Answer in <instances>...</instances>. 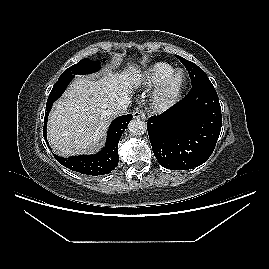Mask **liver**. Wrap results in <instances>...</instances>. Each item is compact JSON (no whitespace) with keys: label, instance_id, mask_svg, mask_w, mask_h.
I'll list each match as a JSON object with an SVG mask.
<instances>
[{"label":"liver","instance_id":"obj_1","mask_svg":"<svg viewBox=\"0 0 269 269\" xmlns=\"http://www.w3.org/2000/svg\"><path fill=\"white\" fill-rule=\"evenodd\" d=\"M142 75L134 65L119 72L106 70L98 79L76 78L53 106L48 139L60 155L88 151L104 137L111 115L108 108L128 99Z\"/></svg>","mask_w":269,"mask_h":269}]
</instances>
